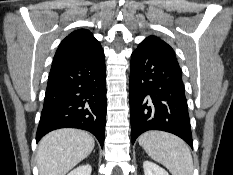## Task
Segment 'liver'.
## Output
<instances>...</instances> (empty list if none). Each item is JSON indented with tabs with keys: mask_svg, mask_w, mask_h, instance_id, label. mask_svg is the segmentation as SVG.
<instances>
[{
	"mask_svg": "<svg viewBox=\"0 0 233 175\" xmlns=\"http://www.w3.org/2000/svg\"><path fill=\"white\" fill-rule=\"evenodd\" d=\"M94 145L93 137L83 130L64 128L48 133L38 144L39 175H65L92 152Z\"/></svg>",
	"mask_w": 233,
	"mask_h": 175,
	"instance_id": "1",
	"label": "liver"
}]
</instances>
